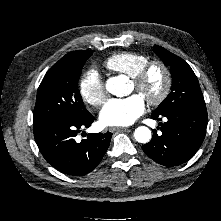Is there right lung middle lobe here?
Segmentation results:
<instances>
[{"mask_svg": "<svg viewBox=\"0 0 221 221\" xmlns=\"http://www.w3.org/2000/svg\"><path fill=\"white\" fill-rule=\"evenodd\" d=\"M92 53V50L70 52L48 70L37 91L34 127L81 118L88 113L78 81L82 67Z\"/></svg>", "mask_w": 221, "mask_h": 221, "instance_id": "dd1d6c3e", "label": "right lung middle lobe"}]
</instances>
